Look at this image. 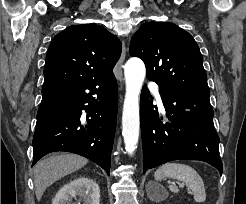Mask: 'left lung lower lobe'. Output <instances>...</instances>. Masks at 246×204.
I'll list each match as a JSON object with an SVG mask.
<instances>
[{
    "label": "left lung lower lobe",
    "instance_id": "obj_1",
    "mask_svg": "<svg viewBox=\"0 0 246 204\" xmlns=\"http://www.w3.org/2000/svg\"><path fill=\"white\" fill-rule=\"evenodd\" d=\"M166 114L158 113L149 90L140 98L143 143V173L173 160L205 161L222 174L219 137L213 124L210 91L173 85H159Z\"/></svg>",
    "mask_w": 246,
    "mask_h": 204
}]
</instances>
